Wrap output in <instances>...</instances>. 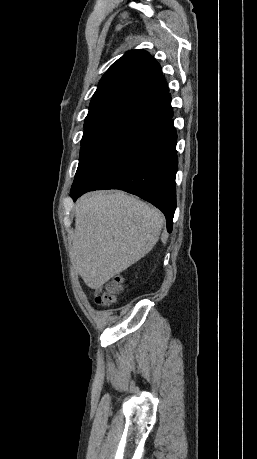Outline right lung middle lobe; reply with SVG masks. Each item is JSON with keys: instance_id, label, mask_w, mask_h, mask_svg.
I'll use <instances>...</instances> for the list:
<instances>
[{"instance_id": "dd1d6c3e", "label": "right lung middle lobe", "mask_w": 257, "mask_h": 459, "mask_svg": "<svg viewBox=\"0 0 257 459\" xmlns=\"http://www.w3.org/2000/svg\"><path fill=\"white\" fill-rule=\"evenodd\" d=\"M133 114H135L134 111L123 108H111L88 113L85 119L76 173L83 170L107 146L120 126Z\"/></svg>"}]
</instances>
